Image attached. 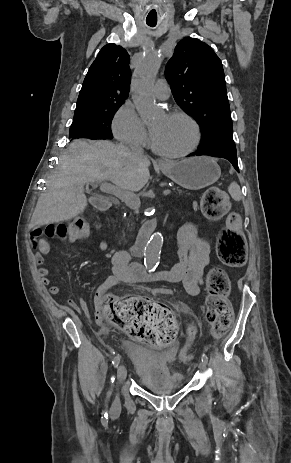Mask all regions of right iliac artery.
<instances>
[{
	"label": "right iliac artery",
	"instance_id": "obj_1",
	"mask_svg": "<svg viewBox=\"0 0 291 463\" xmlns=\"http://www.w3.org/2000/svg\"><path fill=\"white\" fill-rule=\"evenodd\" d=\"M119 363H120V356H116V357L113 359L112 364H113V366H114L115 368H117L118 365H119ZM114 380H115V378L112 377V378H111V382L113 383ZM109 396H110V392L108 393V397H109ZM107 416H108V414L105 413L104 416L101 417V422H102L103 425H106V424H107Z\"/></svg>",
	"mask_w": 291,
	"mask_h": 463
}]
</instances>
